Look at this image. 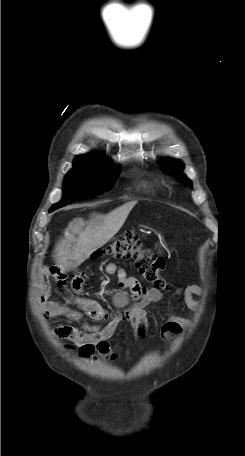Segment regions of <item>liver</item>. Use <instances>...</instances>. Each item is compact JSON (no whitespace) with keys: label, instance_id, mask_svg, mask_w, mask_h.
<instances>
[{"label":"liver","instance_id":"liver-1","mask_svg":"<svg viewBox=\"0 0 245 456\" xmlns=\"http://www.w3.org/2000/svg\"><path fill=\"white\" fill-rule=\"evenodd\" d=\"M136 204L137 201H130L111 211L99 224L86 226L84 230L78 232L72 247L69 244V240L72 239L70 235L67 236V240L59 241L54 255L57 267L65 270L83 263L94 251L114 237Z\"/></svg>","mask_w":245,"mask_h":456}]
</instances>
